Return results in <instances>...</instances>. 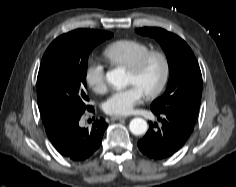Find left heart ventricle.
Returning a JSON list of instances; mask_svg holds the SVG:
<instances>
[{
    "label": "left heart ventricle",
    "mask_w": 236,
    "mask_h": 187,
    "mask_svg": "<svg viewBox=\"0 0 236 187\" xmlns=\"http://www.w3.org/2000/svg\"><path fill=\"white\" fill-rule=\"evenodd\" d=\"M162 64L160 60L151 59L143 69V71L135 76L128 72V84L136 85L144 93L153 90L160 82L162 77Z\"/></svg>",
    "instance_id": "b2bd125f"
}]
</instances>
